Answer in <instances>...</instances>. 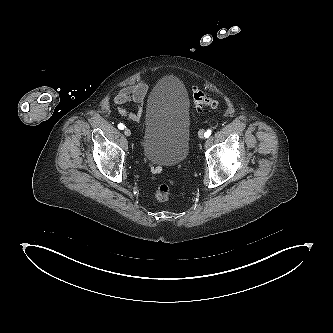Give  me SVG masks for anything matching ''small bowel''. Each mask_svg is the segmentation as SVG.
<instances>
[{"mask_svg":"<svg viewBox=\"0 0 333 333\" xmlns=\"http://www.w3.org/2000/svg\"><path fill=\"white\" fill-rule=\"evenodd\" d=\"M147 93V85L143 82L128 86L120 90L114 97V104L118 107L119 112L131 119L138 122L143 114V103ZM134 104L135 110L129 111L126 109L127 104Z\"/></svg>","mask_w":333,"mask_h":333,"instance_id":"small-bowel-1","label":"small bowel"}]
</instances>
